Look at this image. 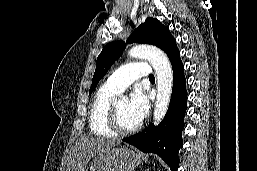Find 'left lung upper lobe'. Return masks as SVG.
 <instances>
[{"label": "left lung upper lobe", "instance_id": "left-lung-upper-lobe-1", "mask_svg": "<svg viewBox=\"0 0 257 171\" xmlns=\"http://www.w3.org/2000/svg\"><path fill=\"white\" fill-rule=\"evenodd\" d=\"M128 43L152 44L162 49L169 57L178 50L175 39L169 29L161 24L157 19L147 18L137 29L133 31L127 40ZM123 41L108 43L97 58L96 70L92 79L89 94L93 91L99 80L107 73L112 64L118 59L125 49Z\"/></svg>", "mask_w": 257, "mask_h": 171}]
</instances>
